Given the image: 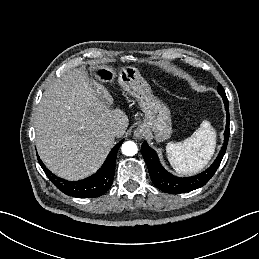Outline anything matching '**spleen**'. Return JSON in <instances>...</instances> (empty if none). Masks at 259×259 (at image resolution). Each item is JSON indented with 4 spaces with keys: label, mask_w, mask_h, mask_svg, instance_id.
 Segmentation results:
<instances>
[{
    "label": "spleen",
    "mask_w": 259,
    "mask_h": 259,
    "mask_svg": "<svg viewBox=\"0 0 259 259\" xmlns=\"http://www.w3.org/2000/svg\"><path fill=\"white\" fill-rule=\"evenodd\" d=\"M216 132L207 120L182 142H169L166 146L167 158L179 174L197 173L211 159L215 151Z\"/></svg>",
    "instance_id": "1"
}]
</instances>
